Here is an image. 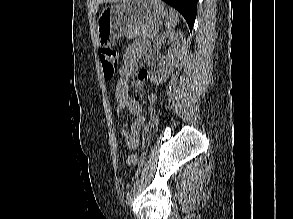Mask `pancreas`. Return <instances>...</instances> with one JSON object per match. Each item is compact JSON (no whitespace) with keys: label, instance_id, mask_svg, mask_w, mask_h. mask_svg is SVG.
Wrapping results in <instances>:
<instances>
[{"label":"pancreas","instance_id":"obj_1","mask_svg":"<svg viewBox=\"0 0 293 219\" xmlns=\"http://www.w3.org/2000/svg\"><path fill=\"white\" fill-rule=\"evenodd\" d=\"M158 31V25L155 23L136 24L127 31L129 38L149 37L153 38Z\"/></svg>","mask_w":293,"mask_h":219}]
</instances>
